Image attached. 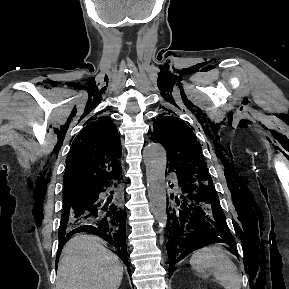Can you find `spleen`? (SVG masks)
Returning a JSON list of instances; mask_svg holds the SVG:
<instances>
[{"instance_id": "obj_1", "label": "spleen", "mask_w": 289, "mask_h": 289, "mask_svg": "<svg viewBox=\"0 0 289 289\" xmlns=\"http://www.w3.org/2000/svg\"><path fill=\"white\" fill-rule=\"evenodd\" d=\"M190 264L202 277L212 275L224 289H241V278L228 253L219 245H210L195 251Z\"/></svg>"}]
</instances>
